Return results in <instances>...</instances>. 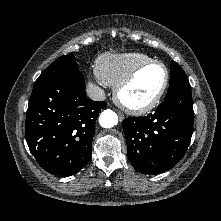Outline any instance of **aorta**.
<instances>
[{"label":"aorta","instance_id":"obj_1","mask_svg":"<svg viewBox=\"0 0 221 221\" xmlns=\"http://www.w3.org/2000/svg\"><path fill=\"white\" fill-rule=\"evenodd\" d=\"M117 123H118V116L114 111L110 109L104 110L99 117V124L103 128H112Z\"/></svg>","mask_w":221,"mask_h":221}]
</instances>
